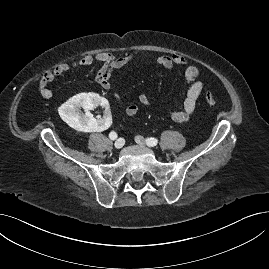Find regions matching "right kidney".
Here are the masks:
<instances>
[{"label": "right kidney", "instance_id": "1", "mask_svg": "<svg viewBox=\"0 0 269 269\" xmlns=\"http://www.w3.org/2000/svg\"><path fill=\"white\" fill-rule=\"evenodd\" d=\"M99 105L105 107L108 115L95 119L89 110ZM81 107L85 110V113L80 112ZM109 108L110 106L106 99L100 98L96 94L83 93L65 102L60 107V113L63 120L78 131L101 133L113 124Z\"/></svg>", "mask_w": 269, "mask_h": 269}]
</instances>
